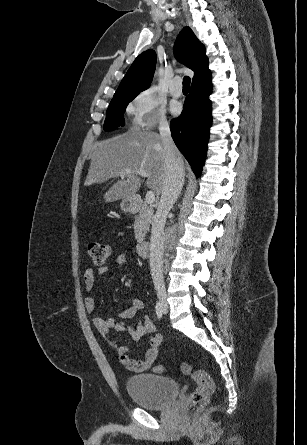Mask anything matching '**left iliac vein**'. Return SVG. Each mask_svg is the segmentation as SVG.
Here are the masks:
<instances>
[{
	"label": "left iliac vein",
	"mask_w": 307,
	"mask_h": 445,
	"mask_svg": "<svg viewBox=\"0 0 307 445\" xmlns=\"http://www.w3.org/2000/svg\"><path fill=\"white\" fill-rule=\"evenodd\" d=\"M167 310H168V308H167V304L164 303V306H163V312H164V313H167Z\"/></svg>",
	"instance_id": "4c4485c4"
}]
</instances>
